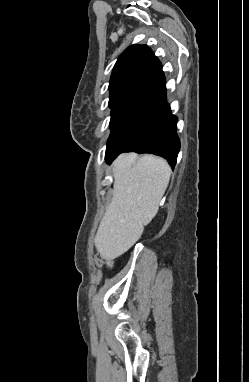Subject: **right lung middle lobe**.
Masks as SVG:
<instances>
[{
  "label": "right lung middle lobe",
  "instance_id": "dd1d6c3e",
  "mask_svg": "<svg viewBox=\"0 0 249 382\" xmlns=\"http://www.w3.org/2000/svg\"><path fill=\"white\" fill-rule=\"evenodd\" d=\"M151 103L130 101L110 106L111 134L108 143L128 130L151 106Z\"/></svg>",
  "mask_w": 249,
  "mask_h": 382
}]
</instances>
